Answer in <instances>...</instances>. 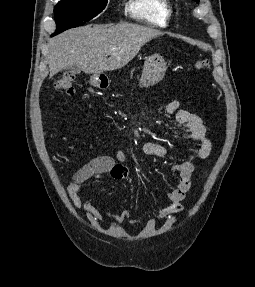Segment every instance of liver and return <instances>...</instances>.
Masks as SVG:
<instances>
[{
    "label": "liver",
    "mask_w": 255,
    "mask_h": 287,
    "mask_svg": "<svg viewBox=\"0 0 255 287\" xmlns=\"http://www.w3.org/2000/svg\"><path fill=\"white\" fill-rule=\"evenodd\" d=\"M158 36L163 32L125 22L67 30L48 42L50 76L69 66H80L85 74L119 70L137 56L144 44Z\"/></svg>",
    "instance_id": "obj_1"
}]
</instances>
